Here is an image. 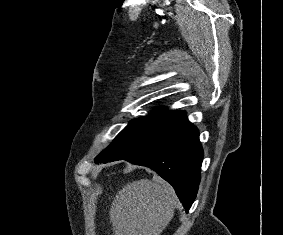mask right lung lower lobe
<instances>
[{
  "instance_id": "right-lung-lower-lobe-1",
  "label": "right lung lower lobe",
  "mask_w": 283,
  "mask_h": 235,
  "mask_svg": "<svg viewBox=\"0 0 283 235\" xmlns=\"http://www.w3.org/2000/svg\"><path fill=\"white\" fill-rule=\"evenodd\" d=\"M202 159L199 132L185 117L164 138L124 160L156 171L174 187L188 211L197 194Z\"/></svg>"
}]
</instances>
